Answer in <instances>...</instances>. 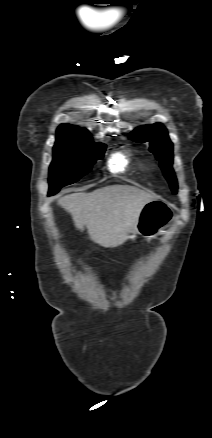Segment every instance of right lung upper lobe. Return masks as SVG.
Masks as SVG:
<instances>
[{"label": "right lung upper lobe", "instance_id": "obj_1", "mask_svg": "<svg viewBox=\"0 0 212 438\" xmlns=\"http://www.w3.org/2000/svg\"><path fill=\"white\" fill-rule=\"evenodd\" d=\"M57 139L85 140L90 139L88 130L78 126L62 124L57 129Z\"/></svg>", "mask_w": 212, "mask_h": 438}]
</instances>
